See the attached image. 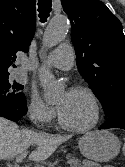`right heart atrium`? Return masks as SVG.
Here are the masks:
<instances>
[{
  "label": "right heart atrium",
  "mask_w": 125,
  "mask_h": 167,
  "mask_svg": "<svg viewBox=\"0 0 125 167\" xmlns=\"http://www.w3.org/2000/svg\"><path fill=\"white\" fill-rule=\"evenodd\" d=\"M27 111L31 120L37 124L48 125L56 117L55 110L45 104L40 96L34 91L29 94Z\"/></svg>",
  "instance_id": "obj_1"
}]
</instances>
